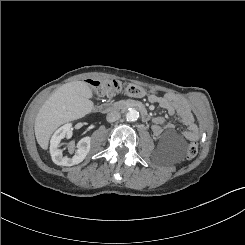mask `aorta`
I'll return each mask as SVG.
<instances>
[{"label":"aorta","instance_id":"1","mask_svg":"<svg viewBox=\"0 0 245 245\" xmlns=\"http://www.w3.org/2000/svg\"><path fill=\"white\" fill-rule=\"evenodd\" d=\"M127 121H136L139 117V112L134 108H129L125 114Z\"/></svg>","mask_w":245,"mask_h":245}]
</instances>
